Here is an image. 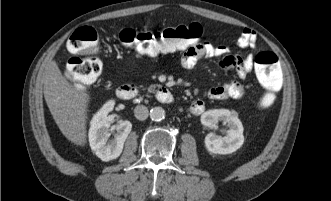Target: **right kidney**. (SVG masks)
Instances as JSON below:
<instances>
[{
	"label": "right kidney",
	"instance_id": "right-kidney-1",
	"mask_svg": "<svg viewBox=\"0 0 331 201\" xmlns=\"http://www.w3.org/2000/svg\"><path fill=\"white\" fill-rule=\"evenodd\" d=\"M114 100L107 101L102 108L93 116L90 122L89 143L91 149L102 161H110L120 156L124 143L131 132L132 124L129 121H121L115 126L116 134L109 140L108 113L113 110Z\"/></svg>",
	"mask_w": 331,
	"mask_h": 201
}]
</instances>
